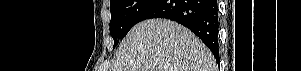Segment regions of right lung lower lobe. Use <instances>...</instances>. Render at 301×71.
I'll list each match as a JSON object with an SVG mask.
<instances>
[{
	"label": "right lung lower lobe",
	"instance_id": "1",
	"mask_svg": "<svg viewBox=\"0 0 301 71\" xmlns=\"http://www.w3.org/2000/svg\"><path fill=\"white\" fill-rule=\"evenodd\" d=\"M150 18L170 19L189 28L219 61L217 0H155L140 16V21Z\"/></svg>",
	"mask_w": 301,
	"mask_h": 71
}]
</instances>
